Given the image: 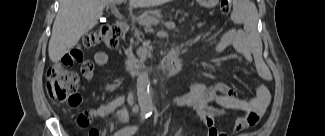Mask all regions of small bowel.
<instances>
[{
  "label": "small bowel",
  "instance_id": "c3829d8e",
  "mask_svg": "<svg viewBox=\"0 0 325 136\" xmlns=\"http://www.w3.org/2000/svg\"><path fill=\"white\" fill-rule=\"evenodd\" d=\"M233 46L238 53L244 58H249V49L252 44L248 35L240 28L227 30L213 46L211 52L217 53L225 48ZM60 64H64L65 69L78 68L82 65V75L84 79L90 81L94 76L95 67H105L108 64V55L104 52H97L92 57H84L82 45L72 44L71 48L67 49V53L60 57ZM260 76L269 80V74L261 64L257 66ZM190 93L176 98L173 104L177 107H191L202 119L205 127L208 130V136H226L227 133L218 131L215 123L216 117L232 110H239L245 113L244 116L235 120L233 132L237 133L244 129L253 126L265 112L270 103L271 94L269 89L262 83H254L255 95L251 98L240 97L236 90L226 84H217L213 87H206L197 77L190 78ZM79 102L72 105L77 107ZM125 102L124 95H118L108 103L99 105L96 108H91L81 112L77 117V122L80 126L86 127L94 118L105 117L112 115ZM129 110L123 108L115 114V119L119 124L127 121ZM93 136L97 135L96 131H92Z\"/></svg>",
  "mask_w": 325,
  "mask_h": 136
}]
</instances>
